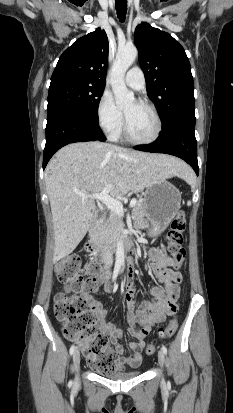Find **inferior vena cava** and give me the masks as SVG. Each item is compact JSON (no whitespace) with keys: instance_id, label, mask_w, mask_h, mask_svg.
I'll return each instance as SVG.
<instances>
[{"instance_id":"602c4592","label":"inferior vena cava","mask_w":233,"mask_h":413,"mask_svg":"<svg viewBox=\"0 0 233 413\" xmlns=\"http://www.w3.org/2000/svg\"><path fill=\"white\" fill-rule=\"evenodd\" d=\"M103 260H104V264L106 267L112 265L113 263V257H112V253H110L109 250L105 251L103 254Z\"/></svg>"}]
</instances>
